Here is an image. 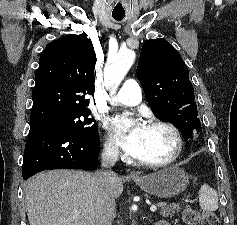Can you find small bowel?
<instances>
[{
    "mask_svg": "<svg viewBox=\"0 0 237 225\" xmlns=\"http://www.w3.org/2000/svg\"><path fill=\"white\" fill-rule=\"evenodd\" d=\"M156 225H171L168 221L161 220Z\"/></svg>",
    "mask_w": 237,
    "mask_h": 225,
    "instance_id": "c3829d8e",
    "label": "small bowel"
}]
</instances>
